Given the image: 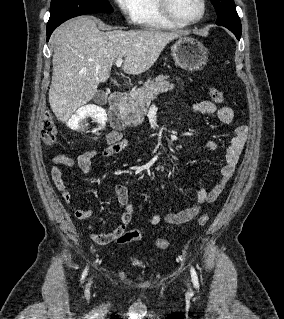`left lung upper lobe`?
I'll use <instances>...</instances> for the list:
<instances>
[{
  "label": "left lung upper lobe",
  "mask_w": 284,
  "mask_h": 319,
  "mask_svg": "<svg viewBox=\"0 0 284 319\" xmlns=\"http://www.w3.org/2000/svg\"><path fill=\"white\" fill-rule=\"evenodd\" d=\"M211 2L218 15L217 25L241 30V22L235 8L234 0H211Z\"/></svg>",
  "instance_id": "left-lung-upper-lobe-1"
}]
</instances>
